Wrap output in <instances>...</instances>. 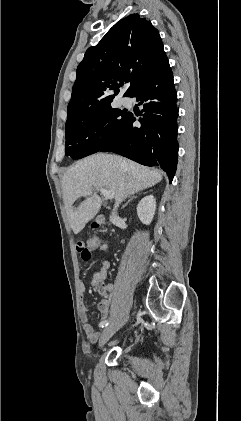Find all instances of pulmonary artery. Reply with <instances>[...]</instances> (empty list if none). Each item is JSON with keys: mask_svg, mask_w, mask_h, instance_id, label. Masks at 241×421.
Here are the masks:
<instances>
[{"mask_svg": "<svg viewBox=\"0 0 241 421\" xmlns=\"http://www.w3.org/2000/svg\"><path fill=\"white\" fill-rule=\"evenodd\" d=\"M122 103H123L124 105H127V104L129 103V99H128V98H123V99H122Z\"/></svg>", "mask_w": 241, "mask_h": 421, "instance_id": "obj_1", "label": "pulmonary artery"}]
</instances>
